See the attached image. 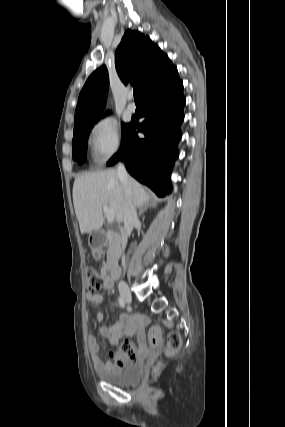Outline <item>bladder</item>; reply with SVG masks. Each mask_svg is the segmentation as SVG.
Instances as JSON below:
<instances>
[{
	"mask_svg": "<svg viewBox=\"0 0 285 427\" xmlns=\"http://www.w3.org/2000/svg\"><path fill=\"white\" fill-rule=\"evenodd\" d=\"M142 373V364L137 362L125 365L119 369L103 371L100 373V376L105 382L109 384L125 386L140 380Z\"/></svg>",
	"mask_w": 285,
	"mask_h": 427,
	"instance_id": "obj_1",
	"label": "bladder"
}]
</instances>
